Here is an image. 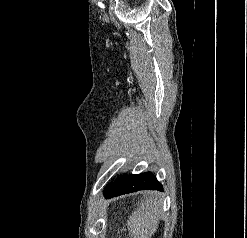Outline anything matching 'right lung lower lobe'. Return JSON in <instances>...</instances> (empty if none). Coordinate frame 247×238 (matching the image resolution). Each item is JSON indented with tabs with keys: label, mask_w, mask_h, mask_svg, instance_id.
Instances as JSON below:
<instances>
[{
	"label": "right lung lower lobe",
	"mask_w": 247,
	"mask_h": 238,
	"mask_svg": "<svg viewBox=\"0 0 247 238\" xmlns=\"http://www.w3.org/2000/svg\"><path fill=\"white\" fill-rule=\"evenodd\" d=\"M161 183L150 173L125 175L109 184L104 191L106 198L131 193L138 190H162Z\"/></svg>",
	"instance_id": "obj_1"
}]
</instances>
